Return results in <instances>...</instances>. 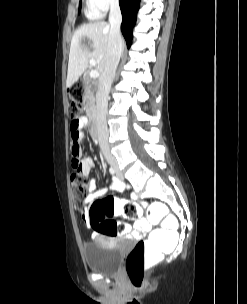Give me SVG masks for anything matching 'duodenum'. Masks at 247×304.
I'll list each match as a JSON object with an SVG mask.
<instances>
[{
    "instance_id": "duodenum-1",
    "label": "duodenum",
    "mask_w": 247,
    "mask_h": 304,
    "mask_svg": "<svg viewBox=\"0 0 247 304\" xmlns=\"http://www.w3.org/2000/svg\"><path fill=\"white\" fill-rule=\"evenodd\" d=\"M88 125L91 128L90 133H89L90 137L93 139V141L96 142L98 140V129H97V126H96V120L95 119H90Z\"/></svg>"
}]
</instances>
